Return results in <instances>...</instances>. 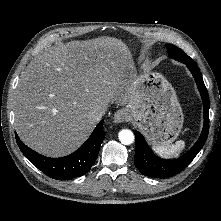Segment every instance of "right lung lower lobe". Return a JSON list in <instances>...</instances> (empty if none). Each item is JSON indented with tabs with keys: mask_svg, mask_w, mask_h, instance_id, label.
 Masks as SVG:
<instances>
[{
	"mask_svg": "<svg viewBox=\"0 0 221 221\" xmlns=\"http://www.w3.org/2000/svg\"><path fill=\"white\" fill-rule=\"evenodd\" d=\"M105 137L103 120L96 126L86 142L74 153L50 158L28 148L17 136V144L25 157L39 170L56 180H68L86 174L94 164Z\"/></svg>",
	"mask_w": 221,
	"mask_h": 221,
	"instance_id": "1",
	"label": "right lung lower lobe"
}]
</instances>
